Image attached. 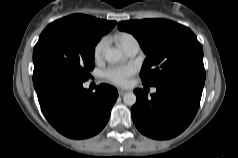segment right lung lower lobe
<instances>
[{
  "mask_svg": "<svg viewBox=\"0 0 238 158\" xmlns=\"http://www.w3.org/2000/svg\"><path fill=\"white\" fill-rule=\"evenodd\" d=\"M83 82L52 68L33 73L34 88L46 119L58 132L73 139L99 133L118 97L110 85L101 84L93 93L83 88Z\"/></svg>",
  "mask_w": 238,
  "mask_h": 158,
  "instance_id": "1",
  "label": "right lung lower lobe"
}]
</instances>
